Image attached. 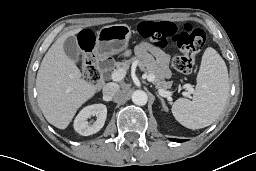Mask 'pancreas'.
<instances>
[{"mask_svg":"<svg viewBox=\"0 0 256 171\" xmlns=\"http://www.w3.org/2000/svg\"><path fill=\"white\" fill-rule=\"evenodd\" d=\"M136 63L141 71H144L148 75L154 76L153 84L157 89H170L172 86L171 82H166L164 80V73L158 67L153 56L147 52H142L139 57H133L129 60H124L123 62H116L114 66L119 69L127 70L131 64Z\"/></svg>","mask_w":256,"mask_h":171,"instance_id":"pancreas-1","label":"pancreas"}]
</instances>
